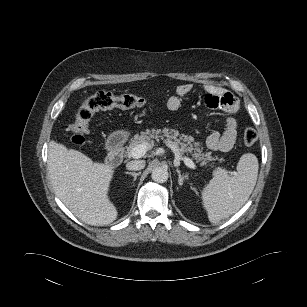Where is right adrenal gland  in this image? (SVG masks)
Wrapping results in <instances>:
<instances>
[{
	"label": "right adrenal gland",
	"mask_w": 307,
	"mask_h": 307,
	"mask_svg": "<svg viewBox=\"0 0 307 307\" xmlns=\"http://www.w3.org/2000/svg\"><path fill=\"white\" fill-rule=\"evenodd\" d=\"M125 174L131 175L134 177V181L137 179V176L141 174V172L135 173V172H125Z\"/></svg>",
	"instance_id": "obj_1"
}]
</instances>
